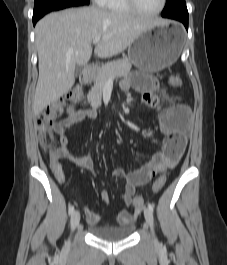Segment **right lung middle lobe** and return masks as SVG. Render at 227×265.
I'll use <instances>...</instances> for the list:
<instances>
[{"instance_id":"1","label":"right lung middle lobe","mask_w":227,"mask_h":265,"mask_svg":"<svg viewBox=\"0 0 227 265\" xmlns=\"http://www.w3.org/2000/svg\"><path fill=\"white\" fill-rule=\"evenodd\" d=\"M88 4L89 0H35L33 19H40L46 13L54 10Z\"/></svg>"}]
</instances>
